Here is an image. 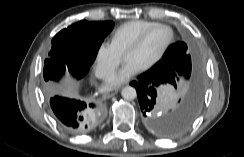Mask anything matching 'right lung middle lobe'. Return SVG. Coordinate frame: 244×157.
<instances>
[{
    "mask_svg": "<svg viewBox=\"0 0 244 157\" xmlns=\"http://www.w3.org/2000/svg\"><path fill=\"white\" fill-rule=\"evenodd\" d=\"M114 23L79 21L67 29L61 30L52 39L49 57L45 60V92L50 95V80L59 79L65 69L70 74L83 77L94 62L98 49L105 36L113 29ZM99 112L100 109H95Z\"/></svg>",
    "mask_w": 244,
    "mask_h": 157,
    "instance_id": "dd1d6c3e",
    "label": "right lung middle lobe"
}]
</instances>
